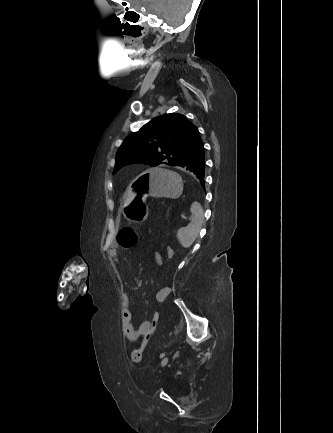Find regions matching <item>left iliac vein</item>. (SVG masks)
Segmentation results:
<instances>
[{
	"mask_svg": "<svg viewBox=\"0 0 333 433\" xmlns=\"http://www.w3.org/2000/svg\"><path fill=\"white\" fill-rule=\"evenodd\" d=\"M168 362V357H165L162 361H161V366L164 367Z\"/></svg>",
	"mask_w": 333,
	"mask_h": 433,
	"instance_id": "left-iliac-vein-1",
	"label": "left iliac vein"
}]
</instances>
